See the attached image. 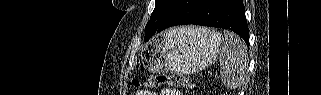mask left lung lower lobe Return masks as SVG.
I'll use <instances>...</instances> for the list:
<instances>
[{
  "label": "left lung lower lobe",
  "instance_id": "1",
  "mask_svg": "<svg viewBox=\"0 0 321 95\" xmlns=\"http://www.w3.org/2000/svg\"><path fill=\"white\" fill-rule=\"evenodd\" d=\"M185 24L229 29L249 43V30L242 0H176L156 32Z\"/></svg>",
  "mask_w": 321,
  "mask_h": 95
}]
</instances>
